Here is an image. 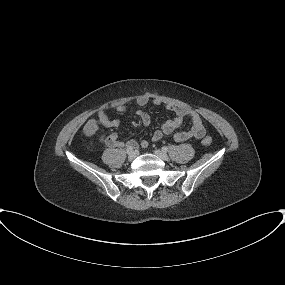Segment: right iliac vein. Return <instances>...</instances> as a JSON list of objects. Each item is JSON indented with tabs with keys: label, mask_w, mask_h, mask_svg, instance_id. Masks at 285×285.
<instances>
[{
	"label": "right iliac vein",
	"mask_w": 285,
	"mask_h": 285,
	"mask_svg": "<svg viewBox=\"0 0 285 285\" xmlns=\"http://www.w3.org/2000/svg\"><path fill=\"white\" fill-rule=\"evenodd\" d=\"M139 152L137 150L128 153V159L130 161L134 160L138 156Z\"/></svg>",
	"instance_id": "right-iliac-vein-1"
}]
</instances>
